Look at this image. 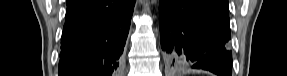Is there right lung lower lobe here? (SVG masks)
<instances>
[{
  "label": "right lung lower lobe",
  "instance_id": "right-lung-lower-lobe-1",
  "mask_svg": "<svg viewBox=\"0 0 287 76\" xmlns=\"http://www.w3.org/2000/svg\"><path fill=\"white\" fill-rule=\"evenodd\" d=\"M135 0L67 2L59 76H112L129 32Z\"/></svg>",
  "mask_w": 287,
  "mask_h": 76
}]
</instances>
